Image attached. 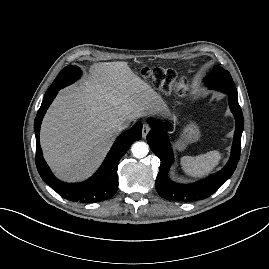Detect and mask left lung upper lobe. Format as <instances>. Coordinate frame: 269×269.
Returning a JSON list of instances; mask_svg holds the SVG:
<instances>
[{
	"mask_svg": "<svg viewBox=\"0 0 269 269\" xmlns=\"http://www.w3.org/2000/svg\"><path fill=\"white\" fill-rule=\"evenodd\" d=\"M206 84L216 90L224 93H233L237 95V90L230 73L220 66H215L214 69L207 75Z\"/></svg>",
	"mask_w": 269,
	"mask_h": 269,
	"instance_id": "obj_1",
	"label": "left lung upper lobe"
}]
</instances>
